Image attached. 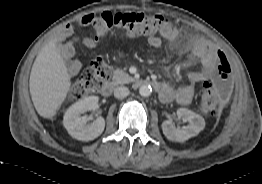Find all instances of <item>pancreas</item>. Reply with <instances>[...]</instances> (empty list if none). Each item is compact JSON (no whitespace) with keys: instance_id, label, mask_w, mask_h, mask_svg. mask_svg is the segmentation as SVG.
<instances>
[{"instance_id":"pancreas-1","label":"pancreas","mask_w":262,"mask_h":184,"mask_svg":"<svg viewBox=\"0 0 262 184\" xmlns=\"http://www.w3.org/2000/svg\"><path fill=\"white\" fill-rule=\"evenodd\" d=\"M113 80L115 84H127L134 81L129 74L125 73L122 69H117L114 72Z\"/></svg>"}]
</instances>
